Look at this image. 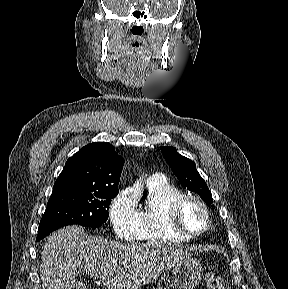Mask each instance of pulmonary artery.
<instances>
[{
    "mask_svg": "<svg viewBox=\"0 0 288 289\" xmlns=\"http://www.w3.org/2000/svg\"><path fill=\"white\" fill-rule=\"evenodd\" d=\"M163 180H165V177L162 174L156 173L151 175L146 182L147 184H152L162 182Z\"/></svg>",
    "mask_w": 288,
    "mask_h": 289,
    "instance_id": "pulmonary-artery-1",
    "label": "pulmonary artery"
}]
</instances>
